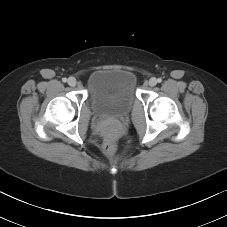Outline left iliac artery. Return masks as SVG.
Returning a JSON list of instances; mask_svg holds the SVG:
<instances>
[{"label":"left iliac artery","mask_w":227,"mask_h":227,"mask_svg":"<svg viewBox=\"0 0 227 227\" xmlns=\"http://www.w3.org/2000/svg\"><path fill=\"white\" fill-rule=\"evenodd\" d=\"M157 82H158V83L162 82V79H161V78H158V79H157Z\"/></svg>","instance_id":"44dca946"}]
</instances>
